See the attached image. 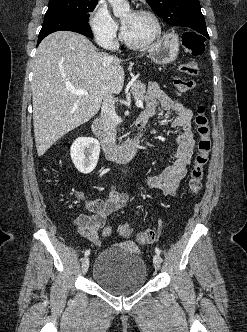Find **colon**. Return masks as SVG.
<instances>
[{
	"mask_svg": "<svg viewBox=\"0 0 247 332\" xmlns=\"http://www.w3.org/2000/svg\"><path fill=\"white\" fill-rule=\"evenodd\" d=\"M182 42L184 48L193 56H198L204 52L205 40L197 32H185L182 37ZM179 72L181 77L174 81V86L177 93L182 95L193 89L195 85L194 78L199 74L198 63L195 60H189L179 67ZM194 121L198 135V142L197 153L188 180V188L191 194L198 195L202 188L204 168L208 162L211 151L209 121L205 113V108L202 105L198 106ZM111 233L112 229L109 226H106L102 231L104 237L110 236ZM130 233L131 227L129 224H122L119 227V234L121 236H129ZM155 239L156 233L151 229L141 231L137 235V241L141 244L152 243Z\"/></svg>",
	"mask_w": 247,
	"mask_h": 332,
	"instance_id": "1",
	"label": "colon"
}]
</instances>
